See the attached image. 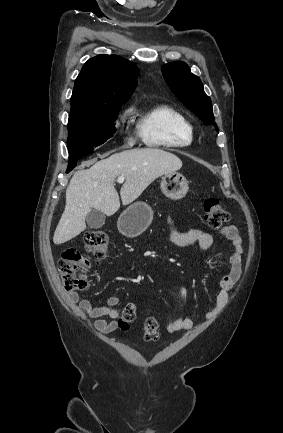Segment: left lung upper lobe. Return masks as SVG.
Returning <instances> with one entry per match:
<instances>
[{
  "label": "left lung upper lobe",
  "instance_id": "left-lung-upper-lobe-1",
  "mask_svg": "<svg viewBox=\"0 0 283 433\" xmlns=\"http://www.w3.org/2000/svg\"><path fill=\"white\" fill-rule=\"evenodd\" d=\"M162 74L175 96L204 124L214 121L210 97L205 94L200 78L192 74L184 62L163 65Z\"/></svg>",
  "mask_w": 283,
  "mask_h": 433
}]
</instances>
